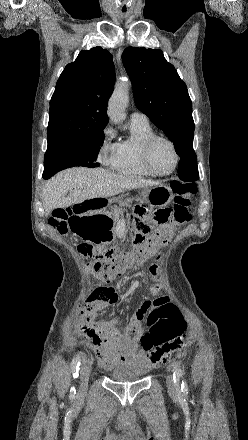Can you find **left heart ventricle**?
Segmentation results:
<instances>
[{"mask_svg":"<svg viewBox=\"0 0 248 440\" xmlns=\"http://www.w3.org/2000/svg\"><path fill=\"white\" fill-rule=\"evenodd\" d=\"M175 157L171 147L165 142H158L151 152V164L159 172H167L174 165Z\"/></svg>","mask_w":248,"mask_h":440,"instance_id":"1","label":"left heart ventricle"}]
</instances>
